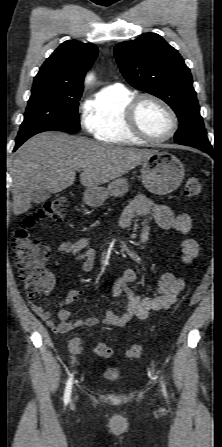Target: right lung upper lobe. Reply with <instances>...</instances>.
Masks as SVG:
<instances>
[{
  "instance_id": "1",
  "label": "right lung upper lobe",
  "mask_w": 222,
  "mask_h": 447,
  "mask_svg": "<svg viewBox=\"0 0 222 447\" xmlns=\"http://www.w3.org/2000/svg\"><path fill=\"white\" fill-rule=\"evenodd\" d=\"M97 55L98 48L94 44L65 41L41 66L33 88L46 86L65 95H81L84 76Z\"/></svg>"
}]
</instances>
